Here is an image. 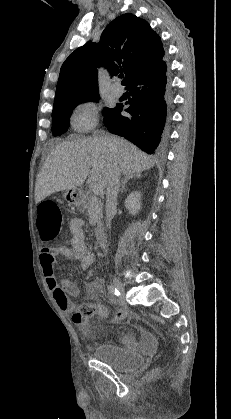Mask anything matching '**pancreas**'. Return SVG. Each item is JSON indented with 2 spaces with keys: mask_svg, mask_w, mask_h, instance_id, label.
<instances>
[{
  "mask_svg": "<svg viewBox=\"0 0 231 419\" xmlns=\"http://www.w3.org/2000/svg\"><path fill=\"white\" fill-rule=\"evenodd\" d=\"M85 208L88 212L89 223L92 226L99 224L103 216L101 201L96 196L90 195L87 197Z\"/></svg>",
  "mask_w": 231,
  "mask_h": 419,
  "instance_id": "pancreas-1",
  "label": "pancreas"
}]
</instances>
